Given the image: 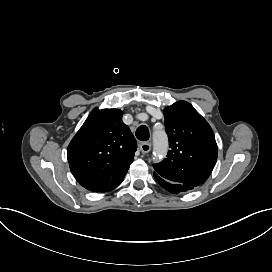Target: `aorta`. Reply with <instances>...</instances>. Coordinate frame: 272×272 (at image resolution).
I'll list each match as a JSON object with an SVG mask.
<instances>
[{
  "label": "aorta",
  "instance_id": "obj_1",
  "mask_svg": "<svg viewBox=\"0 0 272 272\" xmlns=\"http://www.w3.org/2000/svg\"><path fill=\"white\" fill-rule=\"evenodd\" d=\"M153 149L155 161L160 162L166 156L168 150V138L163 130H155L153 132Z\"/></svg>",
  "mask_w": 272,
  "mask_h": 272
}]
</instances>
